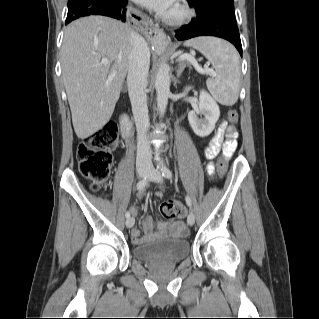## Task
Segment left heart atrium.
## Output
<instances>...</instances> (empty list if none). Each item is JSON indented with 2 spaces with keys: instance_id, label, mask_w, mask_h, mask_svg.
<instances>
[{
  "instance_id": "1",
  "label": "left heart atrium",
  "mask_w": 319,
  "mask_h": 319,
  "mask_svg": "<svg viewBox=\"0 0 319 319\" xmlns=\"http://www.w3.org/2000/svg\"><path fill=\"white\" fill-rule=\"evenodd\" d=\"M137 3L157 12L163 16L171 9L175 0H135Z\"/></svg>"
}]
</instances>
